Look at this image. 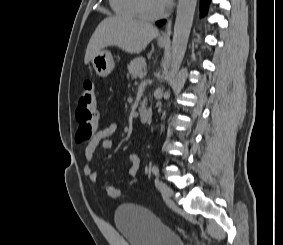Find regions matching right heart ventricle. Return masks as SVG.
Returning <instances> with one entry per match:
<instances>
[{
  "mask_svg": "<svg viewBox=\"0 0 283 245\" xmlns=\"http://www.w3.org/2000/svg\"><path fill=\"white\" fill-rule=\"evenodd\" d=\"M112 10L119 16L136 18L140 17L135 0H109Z\"/></svg>",
  "mask_w": 283,
  "mask_h": 245,
  "instance_id": "right-heart-ventricle-1",
  "label": "right heart ventricle"
}]
</instances>
